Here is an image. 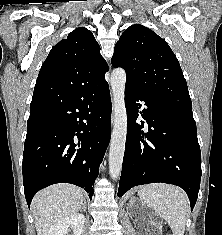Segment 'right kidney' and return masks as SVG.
Instances as JSON below:
<instances>
[{
  "label": "right kidney",
  "mask_w": 222,
  "mask_h": 235,
  "mask_svg": "<svg viewBox=\"0 0 222 235\" xmlns=\"http://www.w3.org/2000/svg\"><path fill=\"white\" fill-rule=\"evenodd\" d=\"M85 224L83 214H75L54 224L47 235H66L69 228L73 229L74 235H81Z\"/></svg>",
  "instance_id": "1"
}]
</instances>
